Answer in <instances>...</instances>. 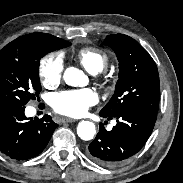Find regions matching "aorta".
<instances>
[{
	"label": "aorta",
	"instance_id": "762f6f07",
	"mask_svg": "<svg viewBox=\"0 0 183 183\" xmlns=\"http://www.w3.org/2000/svg\"><path fill=\"white\" fill-rule=\"evenodd\" d=\"M63 79L67 85L73 87H82L88 83V78L83 71L75 67L67 68L64 72ZM95 133L96 129L94 123L84 120L79 122L77 134L82 140L88 141L93 139Z\"/></svg>",
	"mask_w": 183,
	"mask_h": 183
}]
</instances>
